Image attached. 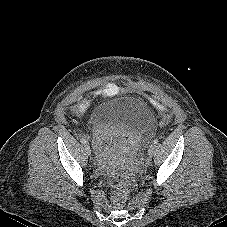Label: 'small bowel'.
I'll return each mask as SVG.
<instances>
[{
    "mask_svg": "<svg viewBox=\"0 0 227 227\" xmlns=\"http://www.w3.org/2000/svg\"><path fill=\"white\" fill-rule=\"evenodd\" d=\"M121 93V89L114 83H107L104 87L98 89L95 94L97 97H113ZM88 102L83 101L77 105L78 109L83 110L87 107ZM118 147L117 138L97 139L95 148L100 154L111 153Z\"/></svg>",
    "mask_w": 227,
    "mask_h": 227,
    "instance_id": "1",
    "label": "small bowel"
}]
</instances>
